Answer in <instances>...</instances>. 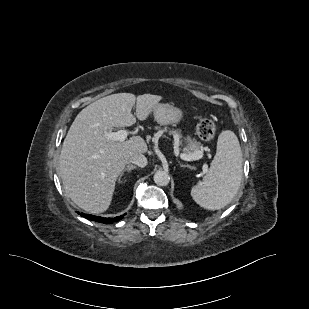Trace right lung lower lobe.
<instances>
[{"instance_id": "1", "label": "right lung lower lobe", "mask_w": 309, "mask_h": 309, "mask_svg": "<svg viewBox=\"0 0 309 309\" xmlns=\"http://www.w3.org/2000/svg\"><path fill=\"white\" fill-rule=\"evenodd\" d=\"M124 215L118 216V217H115V218H103V217H99V216H94V215H89V214L81 213V216L86 218V219L97 221V222H101V223H104V224H110L112 222H117L120 219H122Z\"/></svg>"}]
</instances>
